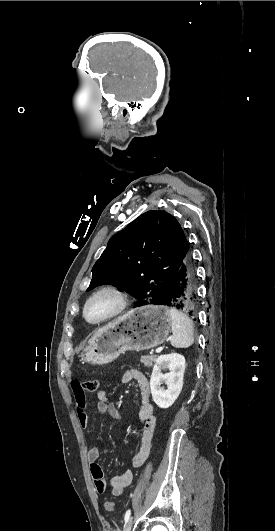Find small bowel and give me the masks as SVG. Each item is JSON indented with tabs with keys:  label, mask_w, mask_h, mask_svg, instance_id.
<instances>
[{
	"label": "small bowel",
	"mask_w": 275,
	"mask_h": 531,
	"mask_svg": "<svg viewBox=\"0 0 275 531\" xmlns=\"http://www.w3.org/2000/svg\"><path fill=\"white\" fill-rule=\"evenodd\" d=\"M135 380L139 387L140 393V410L139 422L142 425L141 445L138 451L134 452L128 462V467L119 475L113 478L109 486L103 479V471L98 464L100 457V450L97 446L91 447L87 452V459L90 462L91 475L94 480L95 490L99 494H103L109 488L113 495L122 493L132 482L133 472L132 468L141 466L147 459L149 454V447L151 439L157 424V417L155 414L153 403L151 402V388L148 378L144 373L137 369L126 370L122 377L121 383L126 385ZM70 391L73 397L78 398L83 394L84 390L77 388V383H72ZM97 409L100 413L108 414L112 419L119 420L120 412L117 407L109 401L108 392L106 390H99L97 392ZM79 421L83 429L90 425V417L87 412L86 398L77 401Z\"/></svg>",
	"instance_id": "1"
}]
</instances>
